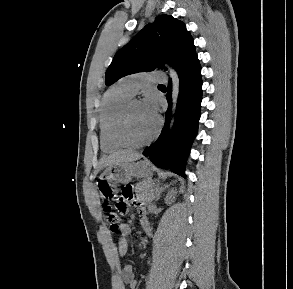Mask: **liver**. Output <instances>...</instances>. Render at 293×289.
I'll return each instance as SVG.
<instances>
[{
    "instance_id": "6515ba94",
    "label": "liver",
    "mask_w": 293,
    "mask_h": 289,
    "mask_svg": "<svg viewBox=\"0 0 293 289\" xmlns=\"http://www.w3.org/2000/svg\"><path fill=\"white\" fill-rule=\"evenodd\" d=\"M141 154L130 150H121L104 157L101 160L102 167H110L116 163L134 162L141 158Z\"/></svg>"
}]
</instances>
